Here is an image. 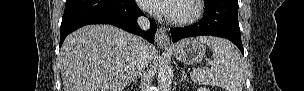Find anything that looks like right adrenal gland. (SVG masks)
Segmentation results:
<instances>
[{"mask_svg": "<svg viewBox=\"0 0 304 91\" xmlns=\"http://www.w3.org/2000/svg\"><path fill=\"white\" fill-rule=\"evenodd\" d=\"M134 82L137 83L138 82V75L135 73V75L133 76V78L131 79V81L127 84V86H130V84Z\"/></svg>", "mask_w": 304, "mask_h": 91, "instance_id": "2a0ac1e0", "label": "right adrenal gland"}]
</instances>
